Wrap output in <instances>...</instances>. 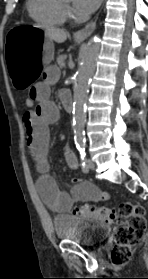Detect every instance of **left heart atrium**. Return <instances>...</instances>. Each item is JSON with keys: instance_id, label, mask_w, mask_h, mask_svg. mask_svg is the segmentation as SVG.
I'll use <instances>...</instances> for the list:
<instances>
[{"instance_id": "left-heart-atrium-1", "label": "left heart atrium", "mask_w": 148, "mask_h": 279, "mask_svg": "<svg viewBox=\"0 0 148 279\" xmlns=\"http://www.w3.org/2000/svg\"><path fill=\"white\" fill-rule=\"evenodd\" d=\"M76 9L84 14L93 12L101 3V0H73Z\"/></svg>"}]
</instances>
